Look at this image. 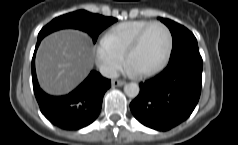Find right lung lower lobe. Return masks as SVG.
<instances>
[{"instance_id":"98d812e1","label":"right lung lower lobe","mask_w":238,"mask_h":145,"mask_svg":"<svg viewBox=\"0 0 238 145\" xmlns=\"http://www.w3.org/2000/svg\"><path fill=\"white\" fill-rule=\"evenodd\" d=\"M40 41H37L32 59V80L42 114L52 124L64 130L86 127L98 117L103 96L110 88L111 81L92 71L84 82L68 95L54 97L46 94L39 87L35 72V53Z\"/></svg>"}]
</instances>
